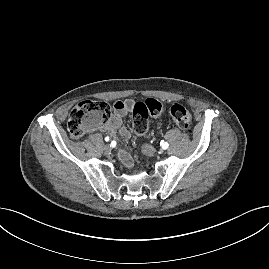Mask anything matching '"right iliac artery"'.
Segmentation results:
<instances>
[{
	"label": "right iliac artery",
	"mask_w": 269,
	"mask_h": 269,
	"mask_svg": "<svg viewBox=\"0 0 269 269\" xmlns=\"http://www.w3.org/2000/svg\"><path fill=\"white\" fill-rule=\"evenodd\" d=\"M110 140V138L107 136L105 137V141L108 142Z\"/></svg>",
	"instance_id": "82829eb1"
}]
</instances>
